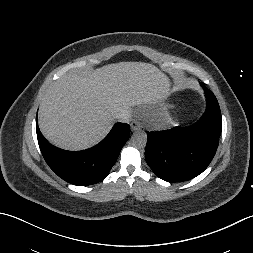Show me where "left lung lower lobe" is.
<instances>
[{
    "instance_id": "left-lung-lower-lobe-1",
    "label": "left lung lower lobe",
    "mask_w": 253,
    "mask_h": 253,
    "mask_svg": "<svg viewBox=\"0 0 253 253\" xmlns=\"http://www.w3.org/2000/svg\"><path fill=\"white\" fill-rule=\"evenodd\" d=\"M207 96L204 115L189 127L147 132L145 158L152 171L167 182H182L201 174L219 144L222 117L215 95L200 83Z\"/></svg>"
}]
</instances>
